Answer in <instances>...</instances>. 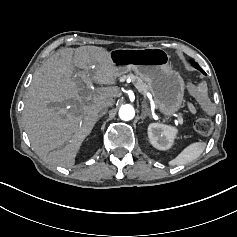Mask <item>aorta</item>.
I'll return each instance as SVG.
<instances>
[{
    "label": "aorta",
    "instance_id": "1",
    "mask_svg": "<svg viewBox=\"0 0 237 237\" xmlns=\"http://www.w3.org/2000/svg\"><path fill=\"white\" fill-rule=\"evenodd\" d=\"M135 116L134 108L131 105H122L119 109V117L124 121H129Z\"/></svg>",
    "mask_w": 237,
    "mask_h": 237
}]
</instances>
